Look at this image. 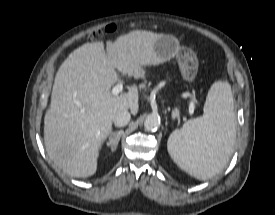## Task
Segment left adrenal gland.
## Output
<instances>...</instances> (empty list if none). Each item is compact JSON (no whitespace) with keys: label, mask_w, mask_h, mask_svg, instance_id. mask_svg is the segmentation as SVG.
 Segmentation results:
<instances>
[{"label":"left adrenal gland","mask_w":275,"mask_h":215,"mask_svg":"<svg viewBox=\"0 0 275 215\" xmlns=\"http://www.w3.org/2000/svg\"><path fill=\"white\" fill-rule=\"evenodd\" d=\"M172 120L177 119L178 123L180 122V115H179V110L176 108L175 110L172 111L171 113Z\"/></svg>","instance_id":"left-adrenal-gland-1"}]
</instances>
